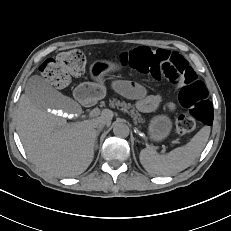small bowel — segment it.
<instances>
[{
	"instance_id": "c3829d8e",
	"label": "small bowel",
	"mask_w": 231,
	"mask_h": 231,
	"mask_svg": "<svg viewBox=\"0 0 231 231\" xmlns=\"http://www.w3.org/2000/svg\"><path fill=\"white\" fill-rule=\"evenodd\" d=\"M111 86L115 91L125 96H130V97L143 96L142 89L138 85L132 82H128L124 80H112ZM157 101L158 99L156 97L142 98L140 100V106L143 109L150 110L156 106Z\"/></svg>"
}]
</instances>
